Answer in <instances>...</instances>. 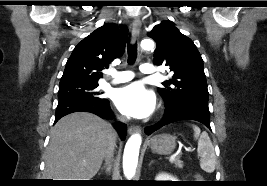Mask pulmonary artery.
Wrapping results in <instances>:
<instances>
[{"mask_svg": "<svg viewBox=\"0 0 267 186\" xmlns=\"http://www.w3.org/2000/svg\"><path fill=\"white\" fill-rule=\"evenodd\" d=\"M141 73L153 76L156 73V69L152 64H143L140 66ZM134 73L132 71H122L115 74L114 83H123L133 79Z\"/></svg>", "mask_w": 267, "mask_h": 186, "instance_id": "pulmonary-artery-1", "label": "pulmonary artery"}]
</instances>
